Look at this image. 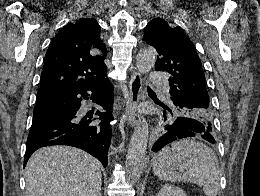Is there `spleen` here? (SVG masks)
Wrapping results in <instances>:
<instances>
[{
	"instance_id": "spleen-1",
	"label": "spleen",
	"mask_w": 260,
	"mask_h": 196,
	"mask_svg": "<svg viewBox=\"0 0 260 196\" xmlns=\"http://www.w3.org/2000/svg\"><path fill=\"white\" fill-rule=\"evenodd\" d=\"M180 166L186 172H175ZM153 172L164 182H192L202 188L205 196H217L220 168L216 154L202 142L179 140L163 148L153 162Z\"/></svg>"
}]
</instances>
